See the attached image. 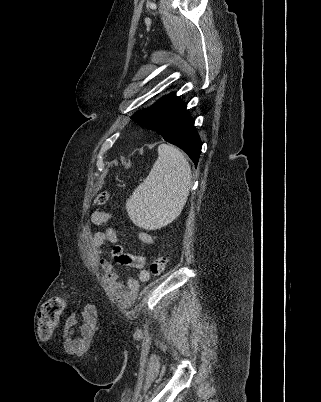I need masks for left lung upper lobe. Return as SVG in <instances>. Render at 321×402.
Returning a JSON list of instances; mask_svg holds the SVG:
<instances>
[{
  "instance_id": "obj_1",
  "label": "left lung upper lobe",
  "mask_w": 321,
  "mask_h": 402,
  "mask_svg": "<svg viewBox=\"0 0 321 402\" xmlns=\"http://www.w3.org/2000/svg\"><path fill=\"white\" fill-rule=\"evenodd\" d=\"M165 98L166 96H163L147 109H143L141 111L136 112L135 114L132 115V119L144 125L146 128L155 131V124L159 108Z\"/></svg>"
}]
</instances>
